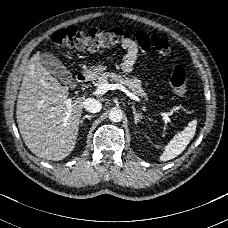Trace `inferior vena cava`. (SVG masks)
Returning a JSON list of instances; mask_svg holds the SVG:
<instances>
[{"label": "inferior vena cava", "mask_w": 228, "mask_h": 228, "mask_svg": "<svg viewBox=\"0 0 228 228\" xmlns=\"http://www.w3.org/2000/svg\"><path fill=\"white\" fill-rule=\"evenodd\" d=\"M84 109L90 113H98L102 109V104L98 100L88 98L84 101Z\"/></svg>", "instance_id": "inferior-vena-cava-1"}]
</instances>
